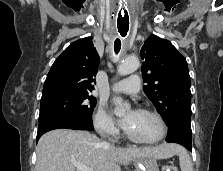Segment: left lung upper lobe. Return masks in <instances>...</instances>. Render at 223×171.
Returning a JSON list of instances; mask_svg holds the SVG:
<instances>
[{"instance_id": "obj_1", "label": "left lung upper lobe", "mask_w": 223, "mask_h": 171, "mask_svg": "<svg viewBox=\"0 0 223 171\" xmlns=\"http://www.w3.org/2000/svg\"><path fill=\"white\" fill-rule=\"evenodd\" d=\"M140 56L147 86L144 92L163 117L166 125L191 128L190 76L186 59L170 41L151 35Z\"/></svg>"}]
</instances>
